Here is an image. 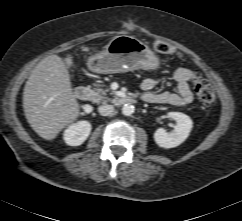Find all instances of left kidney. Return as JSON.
I'll use <instances>...</instances> for the list:
<instances>
[{"instance_id":"obj_1","label":"left kidney","mask_w":242,"mask_h":221,"mask_svg":"<svg viewBox=\"0 0 242 221\" xmlns=\"http://www.w3.org/2000/svg\"><path fill=\"white\" fill-rule=\"evenodd\" d=\"M168 116L176 121L174 130L167 132L163 128H159L154 133L156 144L162 148H174L184 142L189 136L193 122L189 116L181 112H170Z\"/></svg>"}]
</instances>
